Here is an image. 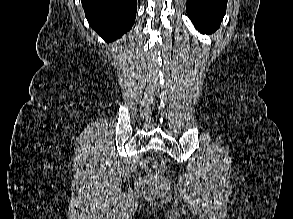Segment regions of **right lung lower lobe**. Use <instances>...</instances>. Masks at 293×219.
Listing matches in <instances>:
<instances>
[{"label": "right lung lower lobe", "instance_id": "1", "mask_svg": "<svg viewBox=\"0 0 293 219\" xmlns=\"http://www.w3.org/2000/svg\"><path fill=\"white\" fill-rule=\"evenodd\" d=\"M89 25L105 40L114 41L134 24L137 0H81Z\"/></svg>", "mask_w": 293, "mask_h": 219}]
</instances>
